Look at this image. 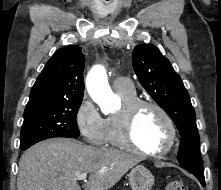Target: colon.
Returning <instances> with one entry per match:
<instances>
[{
	"label": "colon",
	"mask_w": 221,
	"mask_h": 190,
	"mask_svg": "<svg viewBox=\"0 0 221 190\" xmlns=\"http://www.w3.org/2000/svg\"><path fill=\"white\" fill-rule=\"evenodd\" d=\"M165 190H186L185 185L181 181H173L167 184Z\"/></svg>",
	"instance_id": "1"
}]
</instances>
